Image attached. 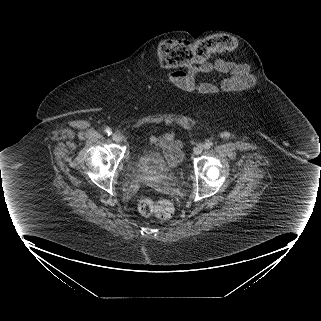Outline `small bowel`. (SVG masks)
Here are the masks:
<instances>
[{
	"label": "small bowel",
	"instance_id": "obj_1",
	"mask_svg": "<svg viewBox=\"0 0 321 321\" xmlns=\"http://www.w3.org/2000/svg\"><path fill=\"white\" fill-rule=\"evenodd\" d=\"M207 74L234 75V81L227 80L223 84V89L227 93H233L236 90L242 91L245 87L252 88L257 83L256 76L249 74L246 66L223 60L191 67L187 72H175L171 74L170 78L185 89L190 88L192 91H197L200 88V92L204 96L219 95L221 87L218 83L205 82L201 85V82L197 79L199 75ZM150 143L164 154L170 164H175L182 156L181 144L175 140L173 133L152 136Z\"/></svg>",
	"mask_w": 321,
	"mask_h": 321
}]
</instances>
